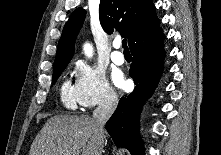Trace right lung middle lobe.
<instances>
[{
  "mask_svg": "<svg viewBox=\"0 0 221 155\" xmlns=\"http://www.w3.org/2000/svg\"><path fill=\"white\" fill-rule=\"evenodd\" d=\"M66 66L67 65H63L54 69L53 77H52V84L56 82V80L59 78L63 70L66 68Z\"/></svg>",
  "mask_w": 221,
  "mask_h": 155,
  "instance_id": "right-lung-middle-lobe-1",
  "label": "right lung middle lobe"
}]
</instances>
